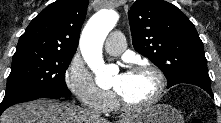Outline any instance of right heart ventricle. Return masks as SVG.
I'll list each match as a JSON object with an SVG mask.
<instances>
[{
    "label": "right heart ventricle",
    "instance_id": "1",
    "mask_svg": "<svg viewBox=\"0 0 221 123\" xmlns=\"http://www.w3.org/2000/svg\"><path fill=\"white\" fill-rule=\"evenodd\" d=\"M117 108H118V104H117L116 100L113 99V101L110 105L109 111L116 110Z\"/></svg>",
    "mask_w": 221,
    "mask_h": 123
}]
</instances>
